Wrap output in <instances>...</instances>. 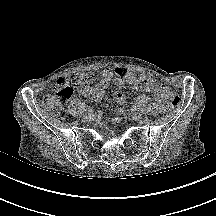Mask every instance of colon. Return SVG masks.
<instances>
[{"label": "colon", "instance_id": "5ec220e1", "mask_svg": "<svg viewBox=\"0 0 216 216\" xmlns=\"http://www.w3.org/2000/svg\"><path fill=\"white\" fill-rule=\"evenodd\" d=\"M92 80L90 74L70 72L60 77L54 86L53 93L47 94L44 105L57 118L65 115V105L74 93V87L78 84H88ZM180 104V98L171 90L167 93L166 105L169 108H176Z\"/></svg>", "mask_w": 216, "mask_h": 216}]
</instances>
